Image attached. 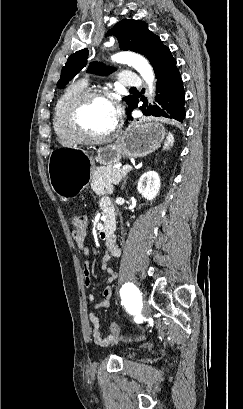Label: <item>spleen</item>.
I'll use <instances>...</instances> for the list:
<instances>
[{
	"label": "spleen",
	"instance_id": "spleen-1",
	"mask_svg": "<svg viewBox=\"0 0 243 409\" xmlns=\"http://www.w3.org/2000/svg\"><path fill=\"white\" fill-rule=\"evenodd\" d=\"M173 144H174V137L171 133H168L163 149H169L170 147L173 146Z\"/></svg>",
	"mask_w": 243,
	"mask_h": 409
}]
</instances>
